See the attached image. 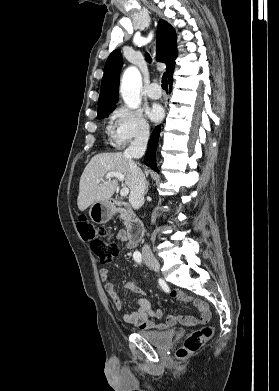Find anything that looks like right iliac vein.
<instances>
[{"label":"right iliac vein","instance_id":"obj_1","mask_svg":"<svg viewBox=\"0 0 279 391\" xmlns=\"http://www.w3.org/2000/svg\"><path fill=\"white\" fill-rule=\"evenodd\" d=\"M144 260L148 267L152 268L155 271L160 270V264L154 256H145Z\"/></svg>","mask_w":279,"mask_h":391}]
</instances>
